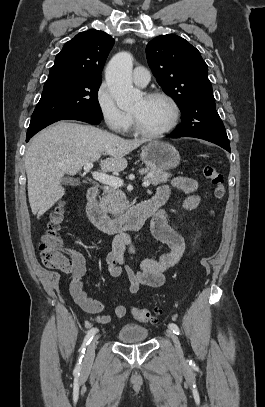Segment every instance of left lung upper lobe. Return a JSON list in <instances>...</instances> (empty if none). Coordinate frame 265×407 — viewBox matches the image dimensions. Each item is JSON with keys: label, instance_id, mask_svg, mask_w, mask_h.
Masks as SVG:
<instances>
[{"label": "left lung upper lobe", "instance_id": "obj_1", "mask_svg": "<svg viewBox=\"0 0 265 407\" xmlns=\"http://www.w3.org/2000/svg\"><path fill=\"white\" fill-rule=\"evenodd\" d=\"M146 56L157 82L181 110L182 123L173 134L229 145L199 51L185 39L167 34L147 44Z\"/></svg>", "mask_w": 265, "mask_h": 407}]
</instances>
